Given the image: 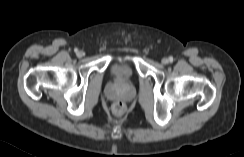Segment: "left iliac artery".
I'll return each mask as SVG.
<instances>
[{"label": "left iliac artery", "mask_w": 244, "mask_h": 157, "mask_svg": "<svg viewBox=\"0 0 244 157\" xmlns=\"http://www.w3.org/2000/svg\"><path fill=\"white\" fill-rule=\"evenodd\" d=\"M169 61L173 62V57L172 56L169 57Z\"/></svg>", "instance_id": "left-iliac-artery-1"}]
</instances>
